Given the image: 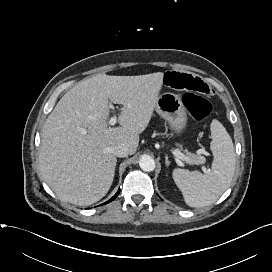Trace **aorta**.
Wrapping results in <instances>:
<instances>
[{
	"label": "aorta",
	"instance_id": "762f6f07",
	"mask_svg": "<svg viewBox=\"0 0 272 272\" xmlns=\"http://www.w3.org/2000/svg\"><path fill=\"white\" fill-rule=\"evenodd\" d=\"M139 166L143 171L151 172L155 169V161L149 155H142L139 160Z\"/></svg>",
	"mask_w": 272,
	"mask_h": 272
}]
</instances>
